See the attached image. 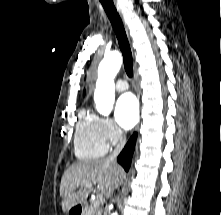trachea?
Returning <instances> with one entry per match:
<instances>
[{
  "instance_id": "obj_1",
  "label": "trachea",
  "mask_w": 221,
  "mask_h": 215,
  "mask_svg": "<svg viewBox=\"0 0 221 215\" xmlns=\"http://www.w3.org/2000/svg\"><path fill=\"white\" fill-rule=\"evenodd\" d=\"M100 1L117 36L118 44L123 55L126 74L131 78L133 77L132 53L121 18L111 0Z\"/></svg>"
}]
</instances>
